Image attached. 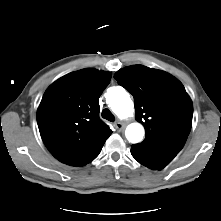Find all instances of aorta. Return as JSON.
<instances>
[{"label":"aorta","mask_w":221,"mask_h":221,"mask_svg":"<svg viewBox=\"0 0 221 221\" xmlns=\"http://www.w3.org/2000/svg\"><path fill=\"white\" fill-rule=\"evenodd\" d=\"M109 106L121 119L131 117L134 112V104L129 94L122 87H113L108 92ZM145 131L140 123H131L125 130V136L131 143H139L144 137Z\"/></svg>","instance_id":"aorta-1"}]
</instances>
